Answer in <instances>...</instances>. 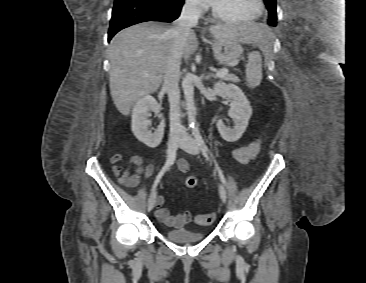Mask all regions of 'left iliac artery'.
Here are the masks:
<instances>
[{
  "instance_id": "44dca946",
  "label": "left iliac artery",
  "mask_w": 366,
  "mask_h": 283,
  "mask_svg": "<svg viewBox=\"0 0 366 283\" xmlns=\"http://www.w3.org/2000/svg\"><path fill=\"white\" fill-rule=\"evenodd\" d=\"M192 131H193V135L197 141V144L198 146L200 147V149L202 150L203 154L205 156H207L208 154H211L207 145L205 144L201 134H200V130H199V127L198 125H193L192 126ZM215 165H216V169L218 171V174H219V177H220V180L222 181L223 184L226 185V180H225V177L220 169V167L218 166V164L216 163L215 161Z\"/></svg>"
}]
</instances>
